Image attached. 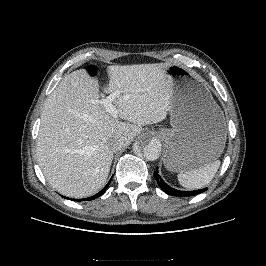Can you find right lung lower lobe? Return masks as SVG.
<instances>
[{"instance_id":"right-lung-lower-lobe-1","label":"right lung lower lobe","mask_w":266,"mask_h":266,"mask_svg":"<svg viewBox=\"0 0 266 266\" xmlns=\"http://www.w3.org/2000/svg\"><path fill=\"white\" fill-rule=\"evenodd\" d=\"M111 180L108 182V184L100 191L98 192L97 194H95L94 196H91V197H88V198H85V199H71V200H75V201H86V200H93V199H96L98 198L99 196H101L107 189V187L109 186ZM67 199H70V198H67Z\"/></svg>"}]
</instances>
